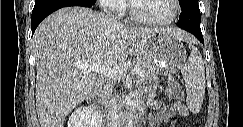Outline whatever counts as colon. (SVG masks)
Instances as JSON below:
<instances>
[{
  "label": "colon",
  "instance_id": "obj_1",
  "mask_svg": "<svg viewBox=\"0 0 243 127\" xmlns=\"http://www.w3.org/2000/svg\"><path fill=\"white\" fill-rule=\"evenodd\" d=\"M167 96L170 99H174L177 101H182L184 99L183 90L178 81L172 80L169 82L167 87Z\"/></svg>",
  "mask_w": 243,
  "mask_h": 127
}]
</instances>
